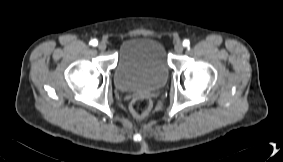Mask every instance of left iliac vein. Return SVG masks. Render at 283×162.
<instances>
[{"instance_id": "4c4485c4", "label": "left iliac vein", "mask_w": 283, "mask_h": 162, "mask_svg": "<svg viewBox=\"0 0 283 162\" xmlns=\"http://www.w3.org/2000/svg\"><path fill=\"white\" fill-rule=\"evenodd\" d=\"M184 47H183V44L181 42H177L174 46V50L177 54H180L182 53Z\"/></svg>"}]
</instances>
